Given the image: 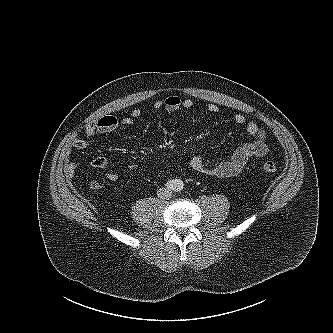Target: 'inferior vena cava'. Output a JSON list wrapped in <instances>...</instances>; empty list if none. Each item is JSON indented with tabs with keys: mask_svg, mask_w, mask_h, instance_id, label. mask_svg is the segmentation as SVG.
I'll use <instances>...</instances> for the list:
<instances>
[{
	"mask_svg": "<svg viewBox=\"0 0 333 333\" xmlns=\"http://www.w3.org/2000/svg\"><path fill=\"white\" fill-rule=\"evenodd\" d=\"M157 196L162 200H168L171 198L172 192L169 189L162 188L157 191Z\"/></svg>",
	"mask_w": 333,
	"mask_h": 333,
	"instance_id": "obj_1",
	"label": "inferior vena cava"
}]
</instances>
